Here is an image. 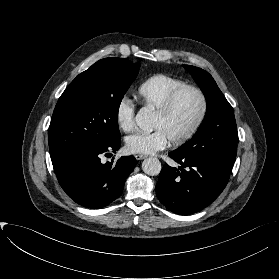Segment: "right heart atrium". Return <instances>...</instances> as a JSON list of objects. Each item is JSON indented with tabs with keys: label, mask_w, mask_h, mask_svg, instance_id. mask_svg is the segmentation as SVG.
<instances>
[{
	"label": "right heart atrium",
	"mask_w": 279,
	"mask_h": 279,
	"mask_svg": "<svg viewBox=\"0 0 279 279\" xmlns=\"http://www.w3.org/2000/svg\"><path fill=\"white\" fill-rule=\"evenodd\" d=\"M135 105L127 97L120 99L115 110V119L123 132H130L135 126Z\"/></svg>",
	"instance_id": "right-heart-atrium-1"
}]
</instances>
